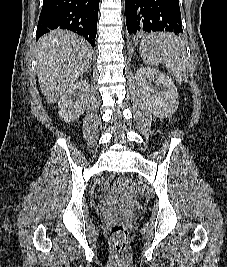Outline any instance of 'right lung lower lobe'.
Here are the masks:
<instances>
[{
	"instance_id": "obj_1",
	"label": "right lung lower lobe",
	"mask_w": 227,
	"mask_h": 267,
	"mask_svg": "<svg viewBox=\"0 0 227 267\" xmlns=\"http://www.w3.org/2000/svg\"><path fill=\"white\" fill-rule=\"evenodd\" d=\"M100 0H44L36 40L50 29L71 30L94 47Z\"/></svg>"
}]
</instances>
